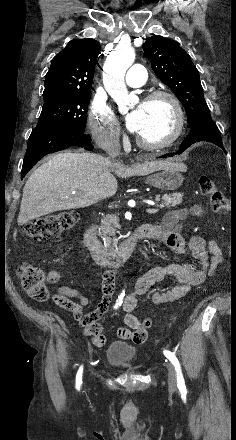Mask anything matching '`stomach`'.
<instances>
[{
	"label": "stomach",
	"mask_w": 236,
	"mask_h": 440,
	"mask_svg": "<svg viewBox=\"0 0 236 440\" xmlns=\"http://www.w3.org/2000/svg\"><path fill=\"white\" fill-rule=\"evenodd\" d=\"M185 170L182 164L167 166L148 175L145 182L161 190H175L182 185V172Z\"/></svg>",
	"instance_id": "stomach-1"
}]
</instances>
